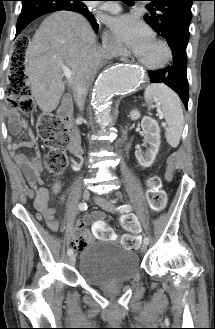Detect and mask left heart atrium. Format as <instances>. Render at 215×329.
<instances>
[{
	"mask_svg": "<svg viewBox=\"0 0 215 329\" xmlns=\"http://www.w3.org/2000/svg\"><path fill=\"white\" fill-rule=\"evenodd\" d=\"M109 25L117 40L130 47L136 54L153 42L149 27L133 15L112 18Z\"/></svg>",
	"mask_w": 215,
	"mask_h": 329,
	"instance_id": "1",
	"label": "left heart atrium"
}]
</instances>
